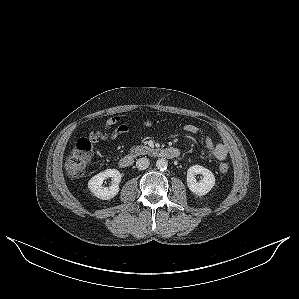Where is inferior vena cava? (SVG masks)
<instances>
[{"instance_id":"inferior-vena-cava-1","label":"inferior vena cava","mask_w":299,"mask_h":299,"mask_svg":"<svg viewBox=\"0 0 299 299\" xmlns=\"http://www.w3.org/2000/svg\"><path fill=\"white\" fill-rule=\"evenodd\" d=\"M150 165L149 159L146 157L139 158L136 162V166L139 170H145Z\"/></svg>"}]
</instances>
